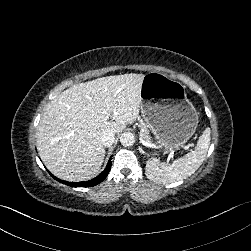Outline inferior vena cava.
I'll return each mask as SVG.
<instances>
[{"mask_svg":"<svg viewBox=\"0 0 251 251\" xmlns=\"http://www.w3.org/2000/svg\"><path fill=\"white\" fill-rule=\"evenodd\" d=\"M116 135L113 131L104 130L101 133V144L105 147H110L115 142Z\"/></svg>","mask_w":251,"mask_h":251,"instance_id":"inferior-vena-cava-1","label":"inferior vena cava"}]
</instances>
